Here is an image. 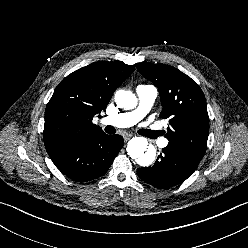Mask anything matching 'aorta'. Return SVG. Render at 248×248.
I'll list each match as a JSON object with an SVG mask.
<instances>
[{"mask_svg": "<svg viewBox=\"0 0 248 248\" xmlns=\"http://www.w3.org/2000/svg\"><path fill=\"white\" fill-rule=\"evenodd\" d=\"M115 102L118 107L130 110L136 107L137 98L130 91L119 90L115 94ZM127 153L129 157L144 167L151 165L156 156L155 149L148 148V141L144 137L132 138L127 144Z\"/></svg>", "mask_w": 248, "mask_h": 248, "instance_id": "762f6f07", "label": "aorta"}]
</instances>
